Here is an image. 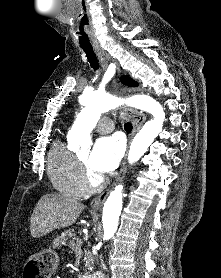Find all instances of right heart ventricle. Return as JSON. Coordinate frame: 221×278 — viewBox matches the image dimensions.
<instances>
[{
	"label": "right heart ventricle",
	"mask_w": 221,
	"mask_h": 278,
	"mask_svg": "<svg viewBox=\"0 0 221 278\" xmlns=\"http://www.w3.org/2000/svg\"><path fill=\"white\" fill-rule=\"evenodd\" d=\"M47 167L50 181L60 194L75 199L85 195L79 159L61 140L52 145Z\"/></svg>",
	"instance_id": "obj_1"
}]
</instances>
